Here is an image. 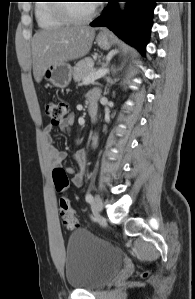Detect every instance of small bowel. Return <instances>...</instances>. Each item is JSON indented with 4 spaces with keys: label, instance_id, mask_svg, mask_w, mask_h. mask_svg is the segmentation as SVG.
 Wrapping results in <instances>:
<instances>
[{
    "label": "small bowel",
    "instance_id": "1",
    "mask_svg": "<svg viewBox=\"0 0 195 299\" xmlns=\"http://www.w3.org/2000/svg\"><path fill=\"white\" fill-rule=\"evenodd\" d=\"M95 94H91V99H94ZM73 125L72 117L63 119L58 125L49 124L43 130V140L47 146V151L49 154L50 161L52 165L58 166L66 158L67 153L65 151L57 149L53 145V131L56 126H58L62 131L69 132ZM73 160L76 164L77 170L73 167L68 166L65 168V171L69 174H72V184L74 186L80 187L83 183L84 173L86 169L87 155L86 151L83 149L77 150L73 154Z\"/></svg>",
    "mask_w": 195,
    "mask_h": 299
}]
</instances>
